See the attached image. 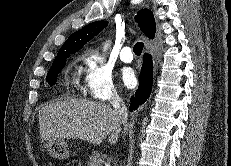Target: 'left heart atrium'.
I'll list each match as a JSON object with an SVG mask.
<instances>
[{
  "instance_id": "39dd6f15",
  "label": "left heart atrium",
  "mask_w": 231,
  "mask_h": 166,
  "mask_svg": "<svg viewBox=\"0 0 231 166\" xmlns=\"http://www.w3.org/2000/svg\"><path fill=\"white\" fill-rule=\"evenodd\" d=\"M122 82L127 88H132L136 85V77L132 69L126 68L121 74Z\"/></svg>"
}]
</instances>
